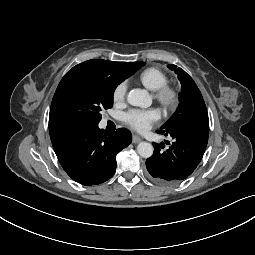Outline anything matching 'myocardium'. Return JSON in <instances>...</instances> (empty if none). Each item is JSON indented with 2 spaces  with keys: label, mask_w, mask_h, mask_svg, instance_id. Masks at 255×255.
I'll return each instance as SVG.
<instances>
[{
  "label": "myocardium",
  "mask_w": 255,
  "mask_h": 255,
  "mask_svg": "<svg viewBox=\"0 0 255 255\" xmlns=\"http://www.w3.org/2000/svg\"><path fill=\"white\" fill-rule=\"evenodd\" d=\"M154 98L157 102L166 109L173 108L178 101V90L171 85H164L153 91Z\"/></svg>",
  "instance_id": "myocardium-1"
}]
</instances>
